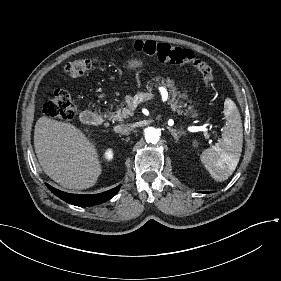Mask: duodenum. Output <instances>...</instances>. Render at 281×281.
I'll use <instances>...</instances> for the list:
<instances>
[{
	"instance_id": "1",
	"label": "duodenum",
	"mask_w": 281,
	"mask_h": 281,
	"mask_svg": "<svg viewBox=\"0 0 281 281\" xmlns=\"http://www.w3.org/2000/svg\"><path fill=\"white\" fill-rule=\"evenodd\" d=\"M103 120L101 115L90 110H85L81 114V121L87 125H99Z\"/></svg>"
}]
</instances>
